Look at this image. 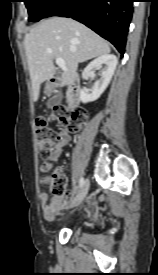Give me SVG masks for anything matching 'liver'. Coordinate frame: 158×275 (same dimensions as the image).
<instances>
[{
	"label": "liver",
	"instance_id": "6515ba94",
	"mask_svg": "<svg viewBox=\"0 0 158 275\" xmlns=\"http://www.w3.org/2000/svg\"><path fill=\"white\" fill-rule=\"evenodd\" d=\"M32 82L33 100L39 98L40 85L55 74L54 59L62 58L67 71L63 83L76 78L78 64L110 53L109 44L85 25L65 17H51L35 25L24 38Z\"/></svg>",
	"mask_w": 158,
	"mask_h": 275
}]
</instances>
